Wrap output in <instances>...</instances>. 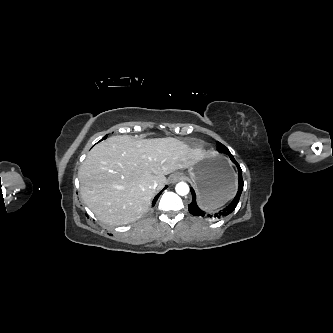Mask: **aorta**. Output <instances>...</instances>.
Masks as SVG:
<instances>
[{
  "label": "aorta",
  "instance_id": "obj_1",
  "mask_svg": "<svg viewBox=\"0 0 333 333\" xmlns=\"http://www.w3.org/2000/svg\"><path fill=\"white\" fill-rule=\"evenodd\" d=\"M177 194L185 196L189 193V186L185 182H180L175 187Z\"/></svg>",
  "mask_w": 333,
  "mask_h": 333
}]
</instances>
